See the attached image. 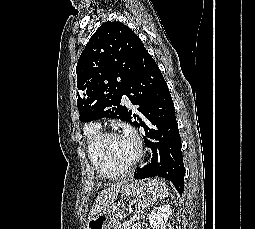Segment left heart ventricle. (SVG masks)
<instances>
[{"mask_svg": "<svg viewBox=\"0 0 255 229\" xmlns=\"http://www.w3.org/2000/svg\"><path fill=\"white\" fill-rule=\"evenodd\" d=\"M105 150L108 156L118 163L131 161L137 150L136 142L130 141L123 135L109 139L106 143Z\"/></svg>", "mask_w": 255, "mask_h": 229, "instance_id": "1", "label": "left heart ventricle"}]
</instances>
